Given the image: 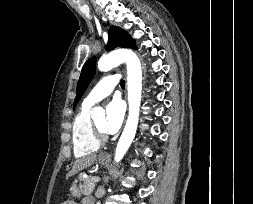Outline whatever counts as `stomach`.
I'll list each match as a JSON object with an SVG mask.
<instances>
[{
  "instance_id": "obj_1",
  "label": "stomach",
  "mask_w": 253,
  "mask_h": 204,
  "mask_svg": "<svg viewBox=\"0 0 253 204\" xmlns=\"http://www.w3.org/2000/svg\"><path fill=\"white\" fill-rule=\"evenodd\" d=\"M98 162L102 165H105L109 162V159L103 158L100 156L98 158ZM70 192H71L72 196H74V197H80L83 194L82 187H81V185L77 184V180L72 183V185L70 187ZM62 204H77V203H75L74 200H67V201H64Z\"/></svg>"
}]
</instances>
